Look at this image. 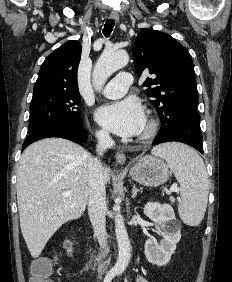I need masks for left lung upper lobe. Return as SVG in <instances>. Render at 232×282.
Wrapping results in <instances>:
<instances>
[{"instance_id": "5c2ea615", "label": "left lung upper lobe", "mask_w": 232, "mask_h": 282, "mask_svg": "<svg viewBox=\"0 0 232 282\" xmlns=\"http://www.w3.org/2000/svg\"><path fill=\"white\" fill-rule=\"evenodd\" d=\"M133 53L137 74L149 72L146 94L153 98L160 119L178 106L197 107L198 93L193 62L187 49L166 33L144 29L139 32Z\"/></svg>"}]
</instances>
